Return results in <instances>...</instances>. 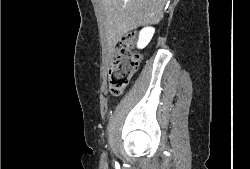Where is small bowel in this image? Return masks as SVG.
Segmentation results:
<instances>
[{"label": "small bowel", "mask_w": 250, "mask_h": 169, "mask_svg": "<svg viewBox=\"0 0 250 169\" xmlns=\"http://www.w3.org/2000/svg\"><path fill=\"white\" fill-rule=\"evenodd\" d=\"M111 54H112V56H115V55L117 54V49H113V50L111 51Z\"/></svg>", "instance_id": "1"}]
</instances>
